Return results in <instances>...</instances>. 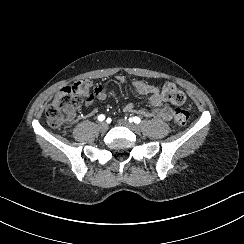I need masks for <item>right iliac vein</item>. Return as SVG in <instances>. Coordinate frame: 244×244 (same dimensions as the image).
<instances>
[{
	"label": "right iliac vein",
	"mask_w": 244,
	"mask_h": 244,
	"mask_svg": "<svg viewBox=\"0 0 244 244\" xmlns=\"http://www.w3.org/2000/svg\"><path fill=\"white\" fill-rule=\"evenodd\" d=\"M98 129L101 131V132H105L107 131L108 129V124L104 121V122H100L98 124Z\"/></svg>",
	"instance_id": "right-iliac-vein-1"
}]
</instances>
